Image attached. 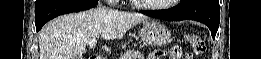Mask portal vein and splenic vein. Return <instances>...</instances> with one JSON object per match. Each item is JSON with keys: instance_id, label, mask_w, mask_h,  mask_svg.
Returning a JSON list of instances; mask_svg holds the SVG:
<instances>
[{"instance_id": "18ae733b", "label": "portal vein and splenic vein", "mask_w": 261, "mask_h": 59, "mask_svg": "<svg viewBox=\"0 0 261 59\" xmlns=\"http://www.w3.org/2000/svg\"><path fill=\"white\" fill-rule=\"evenodd\" d=\"M96 43H97V40H96V38H94V39H92V40H90V41L88 42V45H89L90 47H94V46L96 45Z\"/></svg>"}]
</instances>
